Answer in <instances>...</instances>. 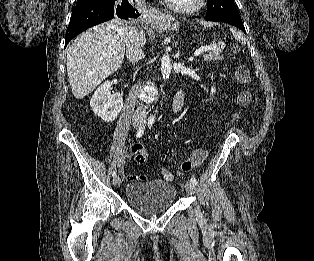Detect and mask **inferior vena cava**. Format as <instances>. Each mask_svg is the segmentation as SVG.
<instances>
[{
    "label": "inferior vena cava",
    "mask_w": 314,
    "mask_h": 261,
    "mask_svg": "<svg viewBox=\"0 0 314 261\" xmlns=\"http://www.w3.org/2000/svg\"><path fill=\"white\" fill-rule=\"evenodd\" d=\"M144 45L143 32H139L136 27H130L127 32L125 51L126 57L131 63H136L145 57L142 47ZM135 119H145V108L140 105L134 114Z\"/></svg>",
    "instance_id": "602c4592"
}]
</instances>
